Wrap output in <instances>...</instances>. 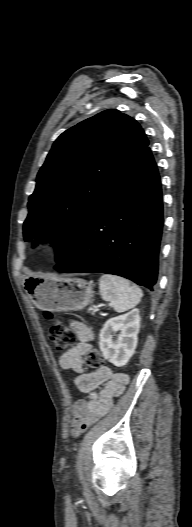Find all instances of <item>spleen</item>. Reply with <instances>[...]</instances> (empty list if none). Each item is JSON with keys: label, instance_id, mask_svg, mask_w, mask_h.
<instances>
[{"label": "spleen", "instance_id": "3e777b00", "mask_svg": "<svg viewBox=\"0 0 192 527\" xmlns=\"http://www.w3.org/2000/svg\"><path fill=\"white\" fill-rule=\"evenodd\" d=\"M102 299L109 302L115 311L121 313L135 307L143 296L142 290L115 275L105 274L99 280Z\"/></svg>", "mask_w": 192, "mask_h": 527}]
</instances>
